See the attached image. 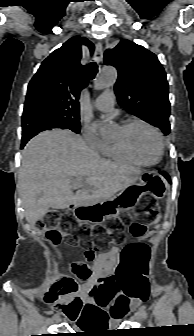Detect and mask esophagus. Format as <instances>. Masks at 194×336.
Masks as SVG:
<instances>
[{
    "instance_id": "1",
    "label": "esophagus",
    "mask_w": 194,
    "mask_h": 336,
    "mask_svg": "<svg viewBox=\"0 0 194 336\" xmlns=\"http://www.w3.org/2000/svg\"><path fill=\"white\" fill-rule=\"evenodd\" d=\"M102 59H103V46L101 42H98L95 48V61L98 64H100L102 62Z\"/></svg>"
}]
</instances>
